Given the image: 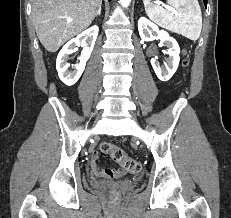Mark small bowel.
Returning a JSON list of instances; mask_svg holds the SVG:
<instances>
[{
  "instance_id": "1",
  "label": "small bowel",
  "mask_w": 231,
  "mask_h": 218,
  "mask_svg": "<svg viewBox=\"0 0 231 218\" xmlns=\"http://www.w3.org/2000/svg\"><path fill=\"white\" fill-rule=\"evenodd\" d=\"M98 160H99V153L95 151L91 155L90 166L92 172L96 176L106 177V178H116L124 175L125 171L122 168H116V169L100 168L98 165Z\"/></svg>"
}]
</instances>
